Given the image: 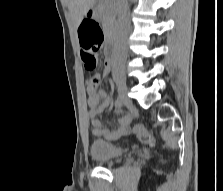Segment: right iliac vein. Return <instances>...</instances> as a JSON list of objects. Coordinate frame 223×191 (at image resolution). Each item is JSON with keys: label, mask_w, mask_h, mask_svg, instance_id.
Listing matches in <instances>:
<instances>
[{"label": "right iliac vein", "mask_w": 223, "mask_h": 191, "mask_svg": "<svg viewBox=\"0 0 223 191\" xmlns=\"http://www.w3.org/2000/svg\"><path fill=\"white\" fill-rule=\"evenodd\" d=\"M116 85H117V89H118L120 99L123 101V103L125 105H127L128 107H131L132 106V101L128 97V89H127L125 79L117 80Z\"/></svg>", "instance_id": "63e3f726"}]
</instances>
